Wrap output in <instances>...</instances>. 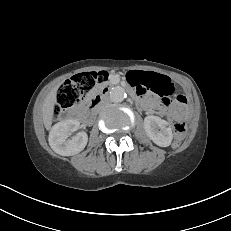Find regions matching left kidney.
Here are the masks:
<instances>
[{
    "label": "left kidney",
    "instance_id": "5707ae66",
    "mask_svg": "<svg viewBox=\"0 0 231 231\" xmlns=\"http://www.w3.org/2000/svg\"><path fill=\"white\" fill-rule=\"evenodd\" d=\"M144 129L147 136L158 146L167 147L173 139L169 123L158 116L149 115L144 119Z\"/></svg>",
    "mask_w": 231,
    "mask_h": 231
}]
</instances>
